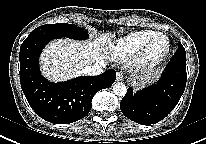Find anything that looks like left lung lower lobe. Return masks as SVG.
Listing matches in <instances>:
<instances>
[{
    "mask_svg": "<svg viewBox=\"0 0 206 144\" xmlns=\"http://www.w3.org/2000/svg\"><path fill=\"white\" fill-rule=\"evenodd\" d=\"M186 86V52L178 43L160 79L153 85L133 93L129 88L120 103L122 113L130 120L151 125L164 119L179 102Z\"/></svg>",
    "mask_w": 206,
    "mask_h": 144,
    "instance_id": "obj_1",
    "label": "left lung lower lobe"
}]
</instances>
